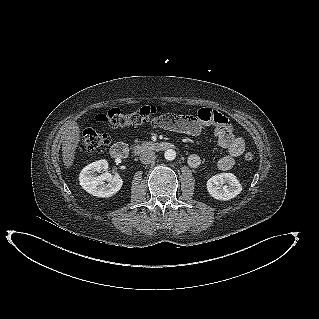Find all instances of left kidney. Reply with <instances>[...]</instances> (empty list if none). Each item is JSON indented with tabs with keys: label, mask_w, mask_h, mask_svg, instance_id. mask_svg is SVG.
I'll list each match as a JSON object with an SVG mask.
<instances>
[{
	"label": "left kidney",
	"mask_w": 319,
	"mask_h": 319,
	"mask_svg": "<svg viewBox=\"0 0 319 319\" xmlns=\"http://www.w3.org/2000/svg\"><path fill=\"white\" fill-rule=\"evenodd\" d=\"M226 184L221 187V184ZM209 194L217 199L227 201L236 197L242 191V186L237 177L232 173H221L207 181Z\"/></svg>",
	"instance_id": "1"
}]
</instances>
